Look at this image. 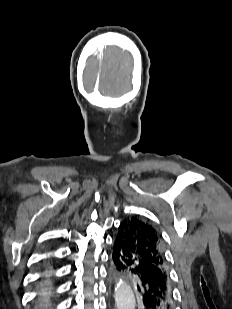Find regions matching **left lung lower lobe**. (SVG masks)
<instances>
[{"instance_id": "left-lung-lower-lobe-1", "label": "left lung lower lobe", "mask_w": 232, "mask_h": 309, "mask_svg": "<svg viewBox=\"0 0 232 309\" xmlns=\"http://www.w3.org/2000/svg\"><path fill=\"white\" fill-rule=\"evenodd\" d=\"M112 265L117 275L132 276L140 309H173L174 299L168 273L139 256L130 231L123 223L114 239Z\"/></svg>"}]
</instances>
